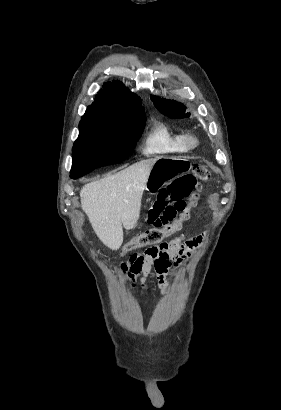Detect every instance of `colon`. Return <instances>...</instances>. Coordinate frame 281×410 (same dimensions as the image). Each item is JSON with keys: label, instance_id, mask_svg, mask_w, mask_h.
I'll return each instance as SVG.
<instances>
[{"label": "colon", "instance_id": "5ec220e1", "mask_svg": "<svg viewBox=\"0 0 281 410\" xmlns=\"http://www.w3.org/2000/svg\"><path fill=\"white\" fill-rule=\"evenodd\" d=\"M209 178V170L203 165H197L192 173L176 179L161 190L149 210L148 221L151 227L129 240L124 251L158 244L164 237L175 232L189 217V210L198 196L201 182Z\"/></svg>", "mask_w": 281, "mask_h": 410}]
</instances>
